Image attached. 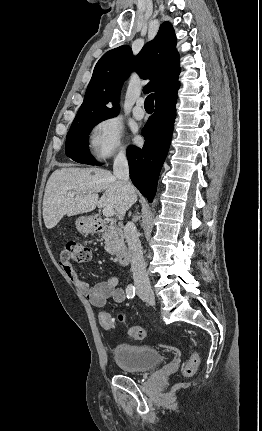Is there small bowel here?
I'll use <instances>...</instances> for the list:
<instances>
[{
    "mask_svg": "<svg viewBox=\"0 0 262 431\" xmlns=\"http://www.w3.org/2000/svg\"><path fill=\"white\" fill-rule=\"evenodd\" d=\"M60 265L68 276L71 283L85 296H87L92 306L103 308L107 304L109 298H112L116 304L124 303L127 297L126 290L118 287V278L110 277L104 281L96 283L93 287H89L87 282L82 279L75 268L61 261Z\"/></svg>",
    "mask_w": 262,
    "mask_h": 431,
    "instance_id": "small-bowel-1",
    "label": "small bowel"
}]
</instances>
